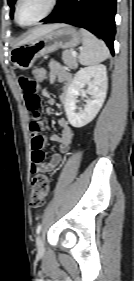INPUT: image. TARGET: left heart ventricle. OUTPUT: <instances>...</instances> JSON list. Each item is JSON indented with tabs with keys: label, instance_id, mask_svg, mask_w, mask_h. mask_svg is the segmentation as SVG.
<instances>
[{
	"label": "left heart ventricle",
	"instance_id": "left-heart-ventricle-1",
	"mask_svg": "<svg viewBox=\"0 0 134 281\" xmlns=\"http://www.w3.org/2000/svg\"><path fill=\"white\" fill-rule=\"evenodd\" d=\"M50 5V0H22L18 17L22 24H30L40 18Z\"/></svg>",
	"mask_w": 134,
	"mask_h": 281
}]
</instances>
